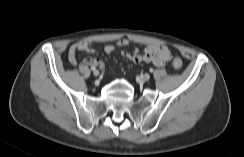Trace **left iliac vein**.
<instances>
[{
    "mask_svg": "<svg viewBox=\"0 0 244 157\" xmlns=\"http://www.w3.org/2000/svg\"><path fill=\"white\" fill-rule=\"evenodd\" d=\"M150 79V75L149 74H144V75H142V80L143 81H148Z\"/></svg>",
    "mask_w": 244,
    "mask_h": 157,
    "instance_id": "obj_1",
    "label": "left iliac vein"
}]
</instances>
